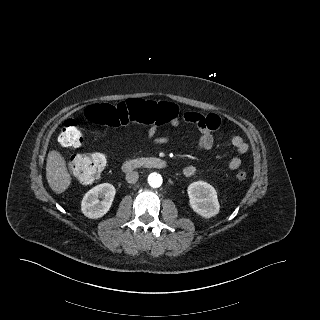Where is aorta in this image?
<instances>
[{
  "instance_id": "1",
  "label": "aorta",
  "mask_w": 320,
  "mask_h": 320,
  "mask_svg": "<svg viewBox=\"0 0 320 320\" xmlns=\"http://www.w3.org/2000/svg\"><path fill=\"white\" fill-rule=\"evenodd\" d=\"M162 176L158 173H151L148 177V183L152 188H159L162 185Z\"/></svg>"
}]
</instances>
